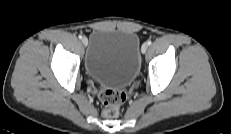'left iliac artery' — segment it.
<instances>
[{
	"label": "left iliac artery",
	"instance_id": "left-iliac-artery-1",
	"mask_svg": "<svg viewBox=\"0 0 231 134\" xmlns=\"http://www.w3.org/2000/svg\"><path fill=\"white\" fill-rule=\"evenodd\" d=\"M147 44H148V45H151V44H152V41H151V40H148V41H147Z\"/></svg>",
	"mask_w": 231,
	"mask_h": 134
}]
</instances>
